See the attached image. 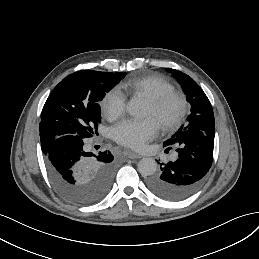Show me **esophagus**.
Here are the masks:
<instances>
[{
	"instance_id": "obj_1",
	"label": "esophagus",
	"mask_w": 259,
	"mask_h": 259,
	"mask_svg": "<svg viewBox=\"0 0 259 259\" xmlns=\"http://www.w3.org/2000/svg\"><path fill=\"white\" fill-rule=\"evenodd\" d=\"M127 157L130 158V159H139L141 158L142 156L133 152V151H128L127 152Z\"/></svg>"
}]
</instances>
